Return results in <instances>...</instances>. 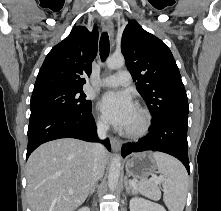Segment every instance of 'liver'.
Masks as SVG:
<instances>
[{
    "instance_id": "liver-1",
    "label": "liver",
    "mask_w": 221,
    "mask_h": 211,
    "mask_svg": "<svg viewBox=\"0 0 221 211\" xmlns=\"http://www.w3.org/2000/svg\"><path fill=\"white\" fill-rule=\"evenodd\" d=\"M89 143L64 138L39 146L27 161V195L32 211H74L92 188L94 156ZM105 150L101 162H108Z\"/></svg>"
}]
</instances>
